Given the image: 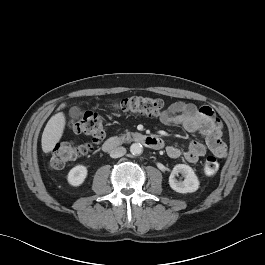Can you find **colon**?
<instances>
[{"label":"colon","mask_w":265,"mask_h":265,"mask_svg":"<svg viewBox=\"0 0 265 265\" xmlns=\"http://www.w3.org/2000/svg\"><path fill=\"white\" fill-rule=\"evenodd\" d=\"M161 99L134 96L123 99L119 107L125 112L145 116H158L164 111ZM71 129L77 133L90 137L93 143H99L105 136V124L102 117L95 112H84L71 122ZM92 148V143L64 142L57 144L50 154L49 164L52 169H60L79 156L86 155ZM203 170L207 176H214L219 170L218 159L209 155L203 163Z\"/></svg>","instance_id":"obj_1"}]
</instances>
